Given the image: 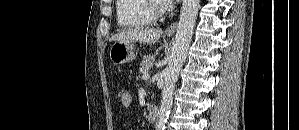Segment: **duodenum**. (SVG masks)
I'll list each match as a JSON object with an SVG mask.
<instances>
[{
  "mask_svg": "<svg viewBox=\"0 0 299 130\" xmlns=\"http://www.w3.org/2000/svg\"><path fill=\"white\" fill-rule=\"evenodd\" d=\"M158 115V110L155 106H150L147 112V120L149 123H155Z\"/></svg>",
  "mask_w": 299,
  "mask_h": 130,
  "instance_id": "obj_1",
  "label": "duodenum"
}]
</instances>
